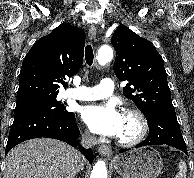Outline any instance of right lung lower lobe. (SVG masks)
Returning a JSON list of instances; mask_svg holds the SVG:
<instances>
[{"mask_svg": "<svg viewBox=\"0 0 194 178\" xmlns=\"http://www.w3.org/2000/svg\"><path fill=\"white\" fill-rule=\"evenodd\" d=\"M79 129L74 113L56 115L42 110H26L14 113L6 154L17 144L33 138H53L77 146ZM89 162L93 161L91 149L79 148Z\"/></svg>", "mask_w": 194, "mask_h": 178, "instance_id": "98d812e1", "label": "right lung lower lobe"}]
</instances>
